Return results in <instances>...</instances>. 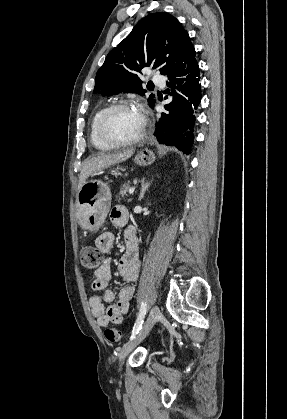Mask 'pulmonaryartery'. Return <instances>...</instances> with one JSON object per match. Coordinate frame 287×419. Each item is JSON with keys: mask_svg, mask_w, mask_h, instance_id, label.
<instances>
[{"mask_svg": "<svg viewBox=\"0 0 287 419\" xmlns=\"http://www.w3.org/2000/svg\"><path fill=\"white\" fill-rule=\"evenodd\" d=\"M151 80L154 84L160 86V87H164L165 86V80L164 78L159 75V74H153L151 77Z\"/></svg>", "mask_w": 287, "mask_h": 419, "instance_id": "e3ab8cb5", "label": "pulmonary artery"}]
</instances>
